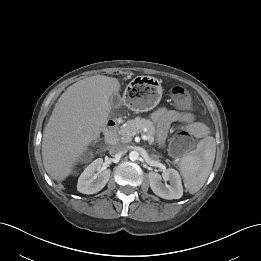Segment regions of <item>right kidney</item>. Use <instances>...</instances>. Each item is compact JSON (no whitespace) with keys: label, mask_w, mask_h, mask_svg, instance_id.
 <instances>
[{"label":"right kidney","mask_w":261,"mask_h":261,"mask_svg":"<svg viewBox=\"0 0 261 261\" xmlns=\"http://www.w3.org/2000/svg\"><path fill=\"white\" fill-rule=\"evenodd\" d=\"M111 171L98 158L88 165L78 179L77 190L83 194H95L109 181Z\"/></svg>","instance_id":"obj_1"}]
</instances>
